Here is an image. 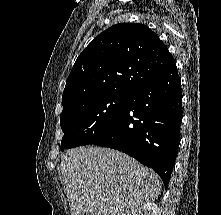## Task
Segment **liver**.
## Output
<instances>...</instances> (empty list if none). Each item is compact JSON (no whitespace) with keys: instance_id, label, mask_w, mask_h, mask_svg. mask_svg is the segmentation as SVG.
<instances>
[{"instance_id":"liver-1","label":"liver","mask_w":221,"mask_h":215,"mask_svg":"<svg viewBox=\"0 0 221 215\" xmlns=\"http://www.w3.org/2000/svg\"><path fill=\"white\" fill-rule=\"evenodd\" d=\"M61 182L71 215H129L161 193L160 177L134 158L109 148L84 146L66 151Z\"/></svg>"}]
</instances>
